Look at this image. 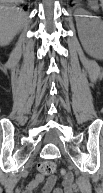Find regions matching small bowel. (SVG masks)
Wrapping results in <instances>:
<instances>
[{"mask_svg": "<svg viewBox=\"0 0 103 193\" xmlns=\"http://www.w3.org/2000/svg\"><path fill=\"white\" fill-rule=\"evenodd\" d=\"M43 184V178L36 176L32 181L22 190V193H34ZM54 181L51 180L44 187H41L39 193H74L75 182L71 177H66L62 180L61 187L53 188Z\"/></svg>", "mask_w": 103, "mask_h": 193, "instance_id": "obj_1", "label": "small bowel"}]
</instances>
